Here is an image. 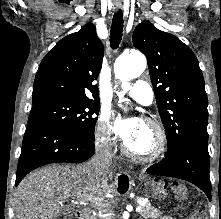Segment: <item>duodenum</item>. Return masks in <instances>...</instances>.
<instances>
[{
	"instance_id": "1",
	"label": "duodenum",
	"mask_w": 221,
	"mask_h": 219,
	"mask_svg": "<svg viewBox=\"0 0 221 219\" xmlns=\"http://www.w3.org/2000/svg\"><path fill=\"white\" fill-rule=\"evenodd\" d=\"M67 219H84V213L81 210L76 211L72 213L71 215H69Z\"/></svg>"
}]
</instances>
